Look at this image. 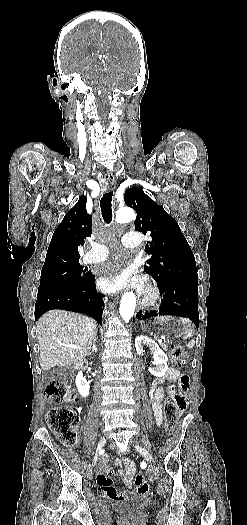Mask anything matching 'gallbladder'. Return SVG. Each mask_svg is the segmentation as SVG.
I'll list each match as a JSON object with an SVG mask.
<instances>
[{
	"label": "gallbladder",
	"instance_id": "1",
	"mask_svg": "<svg viewBox=\"0 0 247 525\" xmlns=\"http://www.w3.org/2000/svg\"><path fill=\"white\" fill-rule=\"evenodd\" d=\"M69 372L70 369L68 367H60V365H56V367L51 366L48 369L47 378L49 380H54L56 379L57 375L68 374Z\"/></svg>",
	"mask_w": 247,
	"mask_h": 525
}]
</instances>
